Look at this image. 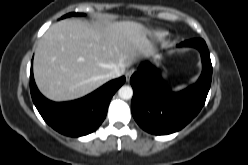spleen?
I'll use <instances>...</instances> for the list:
<instances>
[{"label":"spleen","instance_id":"1","mask_svg":"<svg viewBox=\"0 0 248 165\" xmlns=\"http://www.w3.org/2000/svg\"><path fill=\"white\" fill-rule=\"evenodd\" d=\"M184 87H185L184 85L183 86H179V87L175 88L174 91H179V90L183 89Z\"/></svg>","mask_w":248,"mask_h":165}]
</instances>
